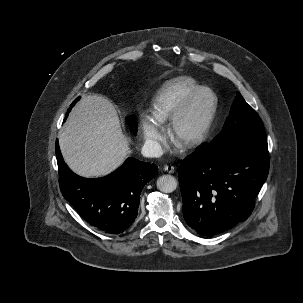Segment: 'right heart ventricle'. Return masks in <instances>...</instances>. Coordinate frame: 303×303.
<instances>
[{
    "instance_id": "right-heart-ventricle-1",
    "label": "right heart ventricle",
    "mask_w": 303,
    "mask_h": 303,
    "mask_svg": "<svg viewBox=\"0 0 303 303\" xmlns=\"http://www.w3.org/2000/svg\"><path fill=\"white\" fill-rule=\"evenodd\" d=\"M201 85L189 77H176L165 82L156 92L151 112L153 118L159 123L170 120L174 112L186 99Z\"/></svg>"
}]
</instances>
